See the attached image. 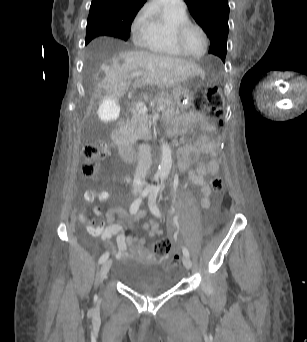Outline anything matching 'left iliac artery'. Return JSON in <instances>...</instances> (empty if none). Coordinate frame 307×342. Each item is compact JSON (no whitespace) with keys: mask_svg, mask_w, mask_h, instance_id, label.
<instances>
[{"mask_svg":"<svg viewBox=\"0 0 307 342\" xmlns=\"http://www.w3.org/2000/svg\"><path fill=\"white\" fill-rule=\"evenodd\" d=\"M159 191H160V188L158 186H152L151 192H150L149 198H148L149 208H150L151 212L157 217L161 216L160 211L156 205L157 195H158ZM175 218L177 219L176 215H175ZM182 251H183V254L185 256L189 257V251L186 247H183Z\"/></svg>","mask_w":307,"mask_h":342,"instance_id":"obj_1","label":"left iliac artery"}]
</instances>
